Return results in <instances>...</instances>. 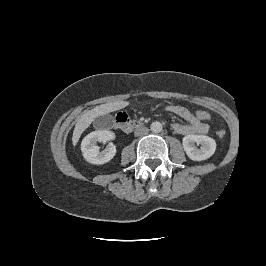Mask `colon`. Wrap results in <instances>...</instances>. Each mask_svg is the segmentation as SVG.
<instances>
[{
	"mask_svg": "<svg viewBox=\"0 0 266 266\" xmlns=\"http://www.w3.org/2000/svg\"><path fill=\"white\" fill-rule=\"evenodd\" d=\"M195 116L198 120L200 121H208L211 119V115L209 112L205 111V110H198L195 112ZM225 130H218L216 132L217 137L219 138H223L225 136Z\"/></svg>",
	"mask_w": 266,
	"mask_h": 266,
	"instance_id": "obj_1",
	"label": "colon"
}]
</instances>
